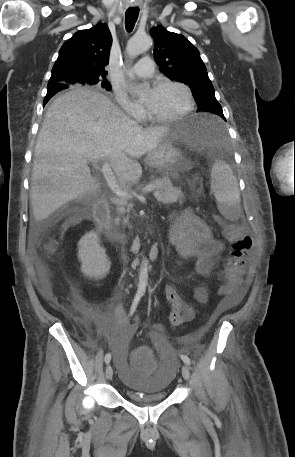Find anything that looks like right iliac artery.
<instances>
[{
  "label": "right iliac artery",
  "instance_id": "right-iliac-artery-1",
  "mask_svg": "<svg viewBox=\"0 0 295 457\" xmlns=\"http://www.w3.org/2000/svg\"><path fill=\"white\" fill-rule=\"evenodd\" d=\"M141 298V295L140 294H137L135 297H134V300H133V303H132V306H131V309H130V313H129V316H131L135 310H136V307L139 303V300ZM111 360V354L110 353H107L105 355V362L108 364Z\"/></svg>",
  "mask_w": 295,
  "mask_h": 457
}]
</instances>
